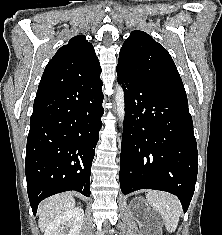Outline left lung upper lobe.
I'll return each mask as SVG.
<instances>
[{
  "label": "left lung upper lobe",
  "mask_w": 222,
  "mask_h": 235,
  "mask_svg": "<svg viewBox=\"0 0 222 235\" xmlns=\"http://www.w3.org/2000/svg\"><path fill=\"white\" fill-rule=\"evenodd\" d=\"M118 68L136 78L187 99L184 85L168 51L143 31H133L120 50Z\"/></svg>",
  "instance_id": "obj_1"
}]
</instances>
